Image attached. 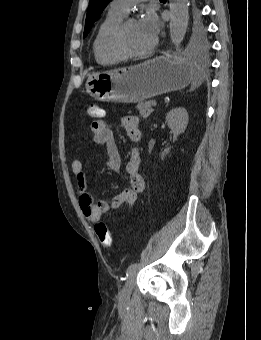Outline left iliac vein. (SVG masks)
I'll return each instance as SVG.
<instances>
[{"mask_svg": "<svg viewBox=\"0 0 261 340\" xmlns=\"http://www.w3.org/2000/svg\"><path fill=\"white\" fill-rule=\"evenodd\" d=\"M136 276H137V269L134 270L130 276L128 277L124 287L121 289L118 295V301L120 303H125L130 299L135 281H136Z\"/></svg>", "mask_w": 261, "mask_h": 340, "instance_id": "obj_1", "label": "left iliac vein"}]
</instances>
